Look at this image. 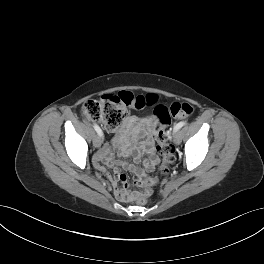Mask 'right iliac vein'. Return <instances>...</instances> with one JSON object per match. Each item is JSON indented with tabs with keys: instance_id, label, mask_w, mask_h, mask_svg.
I'll return each mask as SVG.
<instances>
[{
	"instance_id": "obj_1",
	"label": "right iliac vein",
	"mask_w": 264,
	"mask_h": 264,
	"mask_svg": "<svg viewBox=\"0 0 264 264\" xmlns=\"http://www.w3.org/2000/svg\"><path fill=\"white\" fill-rule=\"evenodd\" d=\"M101 144H102V139H101V137H100V136H96V137L94 138V145H95V147H100Z\"/></svg>"
}]
</instances>
